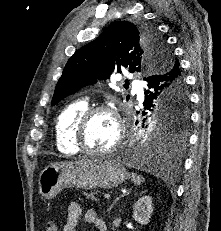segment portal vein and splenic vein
<instances>
[{"label":"portal vein and splenic vein","instance_id":"obj_1","mask_svg":"<svg viewBox=\"0 0 221 231\" xmlns=\"http://www.w3.org/2000/svg\"><path fill=\"white\" fill-rule=\"evenodd\" d=\"M105 199H109L110 198V194H104L103 195Z\"/></svg>","mask_w":221,"mask_h":231}]
</instances>
